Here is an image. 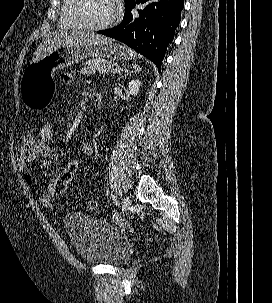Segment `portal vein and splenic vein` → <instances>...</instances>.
Segmentation results:
<instances>
[{"label": "portal vein and splenic vein", "instance_id": "obj_1", "mask_svg": "<svg viewBox=\"0 0 272 303\" xmlns=\"http://www.w3.org/2000/svg\"><path fill=\"white\" fill-rule=\"evenodd\" d=\"M112 71L114 73H120L122 70L120 68L116 67V68H113Z\"/></svg>", "mask_w": 272, "mask_h": 303}]
</instances>
